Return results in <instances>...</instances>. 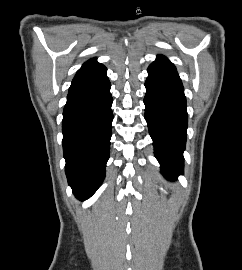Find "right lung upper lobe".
I'll use <instances>...</instances> for the list:
<instances>
[{"label":"right lung upper lobe","instance_id":"cb5924a9","mask_svg":"<svg viewBox=\"0 0 242 270\" xmlns=\"http://www.w3.org/2000/svg\"><path fill=\"white\" fill-rule=\"evenodd\" d=\"M96 62H95V59H91V60H89V61H87L82 67H81V69L79 70V71H81V70H83V69H85V68H87V67H89V66H91V65H94ZM78 71V72H79Z\"/></svg>","mask_w":242,"mask_h":270}]
</instances>
